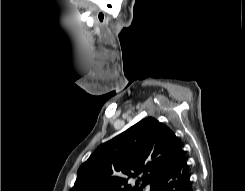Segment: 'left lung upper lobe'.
<instances>
[{
	"label": "left lung upper lobe",
	"mask_w": 245,
	"mask_h": 191,
	"mask_svg": "<svg viewBox=\"0 0 245 191\" xmlns=\"http://www.w3.org/2000/svg\"><path fill=\"white\" fill-rule=\"evenodd\" d=\"M182 146L170 128L147 117L101 145L83 163L70 191H142L154 188ZM136 178V185H128Z\"/></svg>",
	"instance_id": "left-lung-upper-lobe-1"
}]
</instances>
